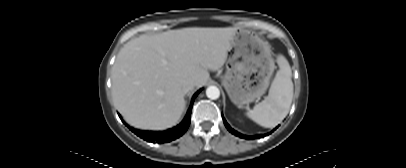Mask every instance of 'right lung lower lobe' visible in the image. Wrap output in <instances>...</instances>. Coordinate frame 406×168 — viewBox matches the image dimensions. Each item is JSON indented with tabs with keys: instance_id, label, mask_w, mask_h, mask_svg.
<instances>
[{
	"instance_id": "98d812e1",
	"label": "right lung lower lobe",
	"mask_w": 406,
	"mask_h": 168,
	"mask_svg": "<svg viewBox=\"0 0 406 168\" xmlns=\"http://www.w3.org/2000/svg\"><path fill=\"white\" fill-rule=\"evenodd\" d=\"M198 93L199 92H197L193 97L187 116L178 126L163 132L140 131L133 128H130V130L148 142L166 143L181 137L190 125L192 106Z\"/></svg>"
}]
</instances>
